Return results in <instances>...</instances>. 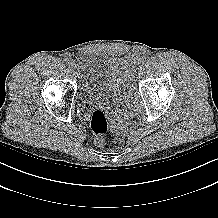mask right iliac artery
I'll return each instance as SVG.
<instances>
[{
	"label": "right iliac artery",
	"mask_w": 218,
	"mask_h": 218,
	"mask_svg": "<svg viewBox=\"0 0 218 218\" xmlns=\"http://www.w3.org/2000/svg\"><path fill=\"white\" fill-rule=\"evenodd\" d=\"M66 62L68 65H72L74 63L73 59H71V58H67Z\"/></svg>",
	"instance_id": "right-iliac-artery-1"
}]
</instances>
